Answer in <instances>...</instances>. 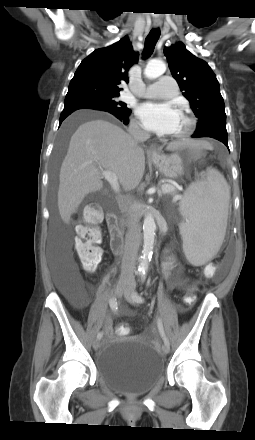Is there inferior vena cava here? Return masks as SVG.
Segmentation results:
<instances>
[{"instance_id": "1", "label": "inferior vena cava", "mask_w": 255, "mask_h": 440, "mask_svg": "<svg viewBox=\"0 0 255 440\" xmlns=\"http://www.w3.org/2000/svg\"><path fill=\"white\" fill-rule=\"evenodd\" d=\"M128 132L135 143L143 142L149 138V134L146 131H143L136 123H132L129 126ZM126 212L127 233L125 236L120 280H133L135 262L141 240L140 215L135 204H130L126 209Z\"/></svg>"}]
</instances>
